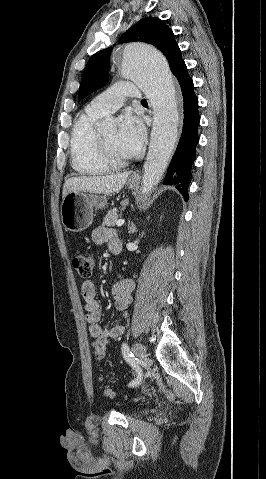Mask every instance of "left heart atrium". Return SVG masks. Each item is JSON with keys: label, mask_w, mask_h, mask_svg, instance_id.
<instances>
[{"label": "left heart atrium", "mask_w": 266, "mask_h": 479, "mask_svg": "<svg viewBox=\"0 0 266 479\" xmlns=\"http://www.w3.org/2000/svg\"><path fill=\"white\" fill-rule=\"evenodd\" d=\"M145 138V129L141 120L133 115L124 117L118 130V141L123 153L129 157L138 154Z\"/></svg>", "instance_id": "39dd6f15"}]
</instances>
